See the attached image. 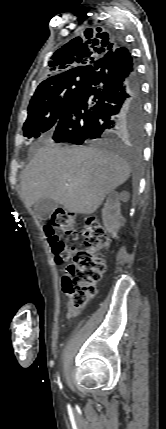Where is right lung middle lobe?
<instances>
[{"label":"right lung middle lobe","mask_w":166,"mask_h":429,"mask_svg":"<svg viewBox=\"0 0 166 429\" xmlns=\"http://www.w3.org/2000/svg\"><path fill=\"white\" fill-rule=\"evenodd\" d=\"M88 75H76L52 85L48 90L34 94L28 117L23 125L24 136L35 140L47 131H53L74 93L87 81ZM132 140L140 141L142 129L129 132Z\"/></svg>","instance_id":"dd1d6c3e"}]
</instances>
